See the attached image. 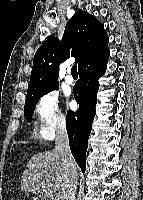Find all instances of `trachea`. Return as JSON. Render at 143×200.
Segmentation results:
<instances>
[{"label":"trachea","instance_id":"1","mask_svg":"<svg viewBox=\"0 0 143 200\" xmlns=\"http://www.w3.org/2000/svg\"><path fill=\"white\" fill-rule=\"evenodd\" d=\"M71 74H72L73 76H77V75H78V72H77V65H73V66H72Z\"/></svg>","mask_w":143,"mask_h":200}]
</instances>
